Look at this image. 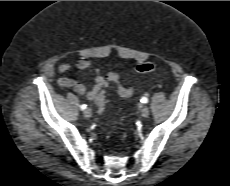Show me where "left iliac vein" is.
I'll return each mask as SVG.
<instances>
[{"mask_svg":"<svg viewBox=\"0 0 230 186\" xmlns=\"http://www.w3.org/2000/svg\"><path fill=\"white\" fill-rule=\"evenodd\" d=\"M141 115L143 118H147L149 116V108L147 106L141 107Z\"/></svg>","mask_w":230,"mask_h":186,"instance_id":"left-iliac-vein-1","label":"left iliac vein"}]
</instances>
